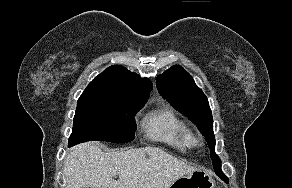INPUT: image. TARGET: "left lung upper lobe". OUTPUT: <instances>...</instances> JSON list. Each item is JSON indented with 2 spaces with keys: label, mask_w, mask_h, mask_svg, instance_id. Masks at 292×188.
Wrapping results in <instances>:
<instances>
[{
  "label": "left lung upper lobe",
  "mask_w": 292,
  "mask_h": 188,
  "mask_svg": "<svg viewBox=\"0 0 292 188\" xmlns=\"http://www.w3.org/2000/svg\"><path fill=\"white\" fill-rule=\"evenodd\" d=\"M157 88L176 110L196 124L210 147L214 169L221 168V160L214 151L216 141L208 99L191 75L179 65L172 66L157 77Z\"/></svg>",
  "instance_id": "obj_1"
}]
</instances>
